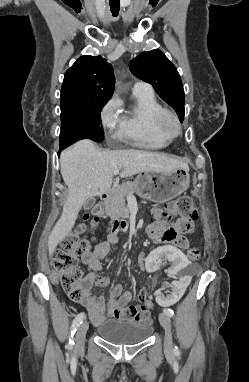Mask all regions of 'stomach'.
<instances>
[{
  "instance_id": "obj_1",
  "label": "stomach",
  "mask_w": 249,
  "mask_h": 382,
  "mask_svg": "<svg viewBox=\"0 0 249 382\" xmlns=\"http://www.w3.org/2000/svg\"><path fill=\"white\" fill-rule=\"evenodd\" d=\"M134 191L144 199L156 203L169 201L183 193L190 185L188 170L171 172H141L135 180Z\"/></svg>"
}]
</instances>
